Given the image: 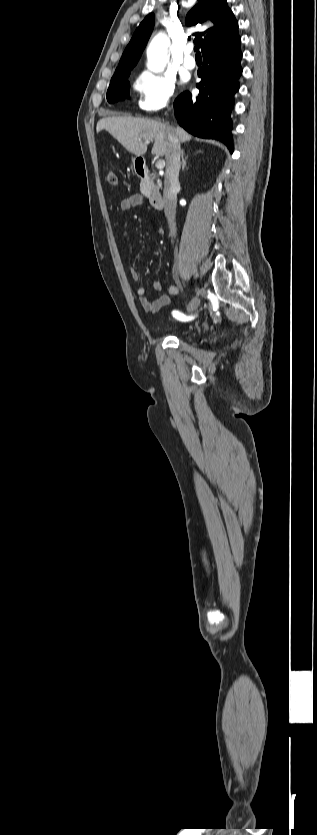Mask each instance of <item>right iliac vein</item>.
Returning a JSON list of instances; mask_svg holds the SVG:
<instances>
[{
  "label": "right iliac vein",
  "mask_w": 317,
  "mask_h": 835,
  "mask_svg": "<svg viewBox=\"0 0 317 835\" xmlns=\"http://www.w3.org/2000/svg\"><path fill=\"white\" fill-rule=\"evenodd\" d=\"M199 294H201V290L197 289V295L199 296ZM192 302H193V303H196V307H198V305H199V299H198V297H196L195 299H193V300H192ZM187 310H188V312H191V311H193V310H194V307L191 305V306H189V307L187 308Z\"/></svg>",
  "instance_id": "obj_1"
}]
</instances>
